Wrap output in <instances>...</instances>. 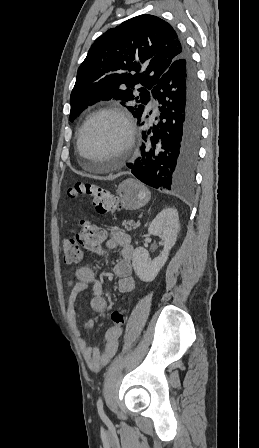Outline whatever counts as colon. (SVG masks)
Returning a JSON list of instances; mask_svg holds the SVG:
<instances>
[{
	"label": "colon",
	"instance_id": "colon-1",
	"mask_svg": "<svg viewBox=\"0 0 259 448\" xmlns=\"http://www.w3.org/2000/svg\"><path fill=\"white\" fill-rule=\"evenodd\" d=\"M78 195L92 198L93 204L99 213H114L120 209L117 196L99 184L89 181L77 182L68 190V196L74 198ZM104 236V230L97 227L94 223L87 220L80 221V230L75 237L66 238L62 242L64 262L69 264L81 262L84 250H95ZM125 319L126 309L118 307L110 315L111 327H122Z\"/></svg>",
	"mask_w": 259,
	"mask_h": 448
}]
</instances>
